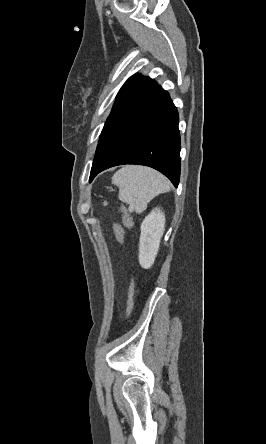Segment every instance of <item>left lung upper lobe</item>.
Listing matches in <instances>:
<instances>
[{"label":"left lung upper lobe","mask_w":266,"mask_h":444,"mask_svg":"<svg viewBox=\"0 0 266 444\" xmlns=\"http://www.w3.org/2000/svg\"><path fill=\"white\" fill-rule=\"evenodd\" d=\"M156 85L157 83L149 77H144L137 74L133 75L125 82L118 92L111 114L114 111L132 103L134 100L147 93Z\"/></svg>","instance_id":"5c2ea615"}]
</instances>
